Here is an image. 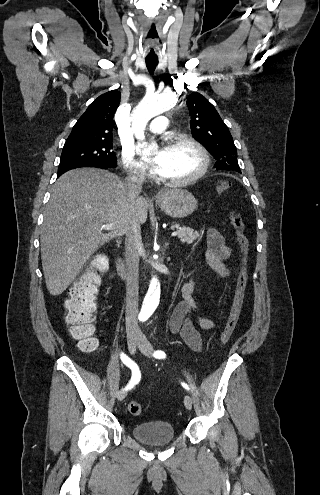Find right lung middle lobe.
I'll list each match as a JSON object with an SVG mask.
<instances>
[{"instance_id": "right-lung-middle-lobe-1", "label": "right lung middle lobe", "mask_w": 320, "mask_h": 495, "mask_svg": "<svg viewBox=\"0 0 320 495\" xmlns=\"http://www.w3.org/2000/svg\"><path fill=\"white\" fill-rule=\"evenodd\" d=\"M112 141H66L61 154L58 174L92 165L115 167L116 155Z\"/></svg>"}]
</instances>
